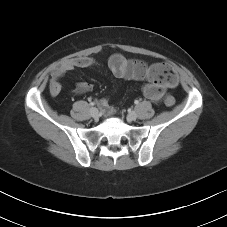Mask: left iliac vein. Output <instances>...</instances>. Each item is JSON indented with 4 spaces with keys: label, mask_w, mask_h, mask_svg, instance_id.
I'll use <instances>...</instances> for the list:
<instances>
[{
    "label": "left iliac vein",
    "mask_w": 227,
    "mask_h": 227,
    "mask_svg": "<svg viewBox=\"0 0 227 227\" xmlns=\"http://www.w3.org/2000/svg\"><path fill=\"white\" fill-rule=\"evenodd\" d=\"M127 118L130 121H134L137 118V113L135 111H131V112L128 113Z\"/></svg>",
    "instance_id": "obj_1"
}]
</instances>
